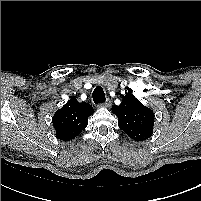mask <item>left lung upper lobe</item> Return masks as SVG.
<instances>
[{"label": "left lung upper lobe", "mask_w": 201, "mask_h": 201, "mask_svg": "<svg viewBox=\"0 0 201 201\" xmlns=\"http://www.w3.org/2000/svg\"><path fill=\"white\" fill-rule=\"evenodd\" d=\"M112 111L118 117L119 128L130 138L143 141L152 136L153 111L138 101L131 92L122 95L121 104L113 106Z\"/></svg>", "instance_id": "obj_1"}]
</instances>
